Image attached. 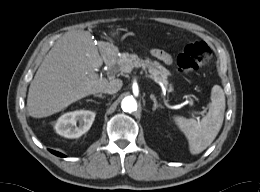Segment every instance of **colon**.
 I'll return each mask as SVG.
<instances>
[{
    "mask_svg": "<svg viewBox=\"0 0 260 192\" xmlns=\"http://www.w3.org/2000/svg\"><path fill=\"white\" fill-rule=\"evenodd\" d=\"M211 57L209 46L203 41L187 45L178 56L177 65L181 72L190 73L205 65Z\"/></svg>",
    "mask_w": 260,
    "mask_h": 192,
    "instance_id": "1",
    "label": "colon"
}]
</instances>
